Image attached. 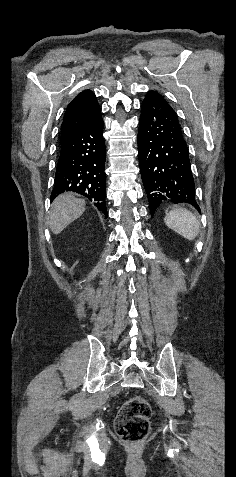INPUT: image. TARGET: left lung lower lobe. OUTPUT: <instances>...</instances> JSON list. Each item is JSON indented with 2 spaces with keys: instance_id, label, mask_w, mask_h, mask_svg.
<instances>
[{
  "instance_id": "1",
  "label": "left lung lower lobe",
  "mask_w": 236,
  "mask_h": 477,
  "mask_svg": "<svg viewBox=\"0 0 236 477\" xmlns=\"http://www.w3.org/2000/svg\"><path fill=\"white\" fill-rule=\"evenodd\" d=\"M138 155L151 216L165 201L188 203L199 210L188 147L177 115L155 91L147 93L141 106Z\"/></svg>"
}]
</instances>
